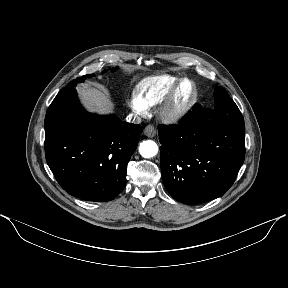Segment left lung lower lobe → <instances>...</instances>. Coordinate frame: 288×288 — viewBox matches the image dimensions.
Segmentation results:
<instances>
[{"label": "left lung lower lobe", "mask_w": 288, "mask_h": 288, "mask_svg": "<svg viewBox=\"0 0 288 288\" xmlns=\"http://www.w3.org/2000/svg\"><path fill=\"white\" fill-rule=\"evenodd\" d=\"M205 111L196 105L180 125L159 127L165 188L185 204L223 195L245 159V131L210 120Z\"/></svg>", "instance_id": "left-lung-lower-lobe-1"}]
</instances>
